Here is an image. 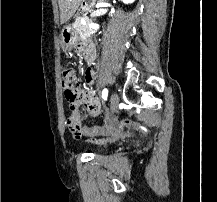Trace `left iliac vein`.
<instances>
[{
    "instance_id": "obj_1",
    "label": "left iliac vein",
    "mask_w": 217,
    "mask_h": 202,
    "mask_svg": "<svg viewBox=\"0 0 217 202\" xmlns=\"http://www.w3.org/2000/svg\"><path fill=\"white\" fill-rule=\"evenodd\" d=\"M118 105H119V96L116 92H114L110 97V106L113 113H115L118 110Z\"/></svg>"
}]
</instances>
